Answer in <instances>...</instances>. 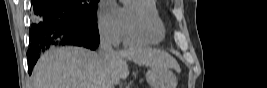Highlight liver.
Masks as SVG:
<instances>
[{"label": "liver", "mask_w": 267, "mask_h": 88, "mask_svg": "<svg viewBox=\"0 0 267 88\" xmlns=\"http://www.w3.org/2000/svg\"><path fill=\"white\" fill-rule=\"evenodd\" d=\"M126 60L138 65L178 69L176 60L166 52L131 47L115 52L104 67L99 54L82 47L52 48L35 65L34 88H102L105 79L113 86L129 75Z\"/></svg>", "instance_id": "obj_1"}]
</instances>
